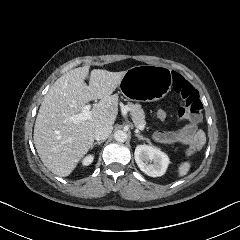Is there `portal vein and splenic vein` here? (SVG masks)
<instances>
[{"label": "portal vein and splenic vein", "mask_w": 240, "mask_h": 240, "mask_svg": "<svg viewBox=\"0 0 240 240\" xmlns=\"http://www.w3.org/2000/svg\"><path fill=\"white\" fill-rule=\"evenodd\" d=\"M93 117V113L90 111V106L85 105L81 112L79 114L73 115L71 117H69V120L74 123V124H78L81 121H86L89 119H92ZM138 125V130L139 131H144L145 130V125L141 124L140 122L137 124Z\"/></svg>", "instance_id": "1"}]
</instances>
